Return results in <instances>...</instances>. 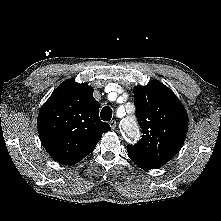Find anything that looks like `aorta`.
<instances>
[{
	"instance_id": "aorta-1",
	"label": "aorta",
	"mask_w": 221,
	"mask_h": 221,
	"mask_svg": "<svg viewBox=\"0 0 221 221\" xmlns=\"http://www.w3.org/2000/svg\"><path fill=\"white\" fill-rule=\"evenodd\" d=\"M122 129H123V133H124L125 137L129 141H135L138 139L139 131L136 126V123L133 121V119L131 117L127 118L124 121Z\"/></svg>"
}]
</instances>
